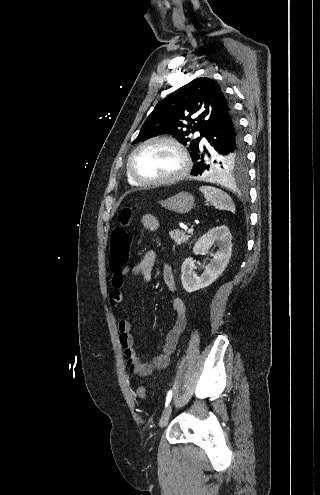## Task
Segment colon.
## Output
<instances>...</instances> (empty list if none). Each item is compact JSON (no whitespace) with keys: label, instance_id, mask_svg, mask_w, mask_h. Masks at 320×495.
I'll use <instances>...</instances> for the list:
<instances>
[{"label":"colon","instance_id":"5ec220e1","mask_svg":"<svg viewBox=\"0 0 320 495\" xmlns=\"http://www.w3.org/2000/svg\"><path fill=\"white\" fill-rule=\"evenodd\" d=\"M131 216V209L126 207L122 210L119 216L120 225L116 226L109 238L110 251V266L113 271H120L129 262L131 248L133 244V236L127 228ZM136 395L140 399H144L147 395L144 386H138Z\"/></svg>","mask_w":320,"mask_h":495}]
</instances>
